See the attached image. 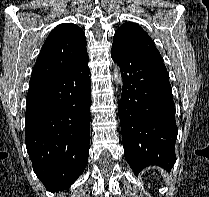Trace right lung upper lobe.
<instances>
[{
  "label": "right lung upper lobe",
  "mask_w": 209,
  "mask_h": 197,
  "mask_svg": "<svg viewBox=\"0 0 209 197\" xmlns=\"http://www.w3.org/2000/svg\"><path fill=\"white\" fill-rule=\"evenodd\" d=\"M86 54V38L81 28L72 23L56 26L41 48L29 85L67 70Z\"/></svg>",
  "instance_id": "cb5924a9"
}]
</instances>
